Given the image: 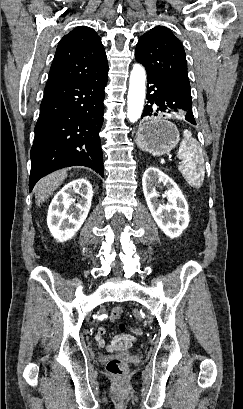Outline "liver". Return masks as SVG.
I'll list each match as a JSON object with an SVG mask.
<instances>
[{
	"label": "liver",
	"instance_id": "obj_1",
	"mask_svg": "<svg viewBox=\"0 0 243 409\" xmlns=\"http://www.w3.org/2000/svg\"><path fill=\"white\" fill-rule=\"evenodd\" d=\"M67 170L62 169L42 178L35 186L36 205L40 206L62 184Z\"/></svg>",
	"mask_w": 243,
	"mask_h": 409
}]
</instances>
